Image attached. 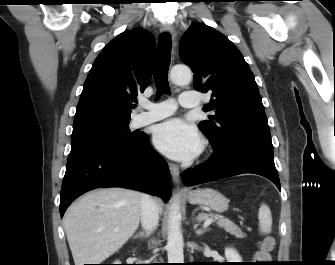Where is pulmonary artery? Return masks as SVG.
I'll return each mask as SVG.
<instances>
[{"label": "pulmonary artery", "instance_id": "e3ab8cb5", "mask_svg": "<svg viewBox=\"0 0 335 265\" xmlns=\"http://www.w3.org/2000/svg\"><path fill=\"white\" fill-rule=\"evenodd\" d=\"M178 103L183 108H195L199 104L198 94L194 91L183 92L179 96ZM141 107L145 111L136 115L134 119V124L138 127L172 115L177 109V103L172 99H168L158 103L143 102Z\"/></svg>", "mask_w": 335, "mask_h": 265}]
</instances>
